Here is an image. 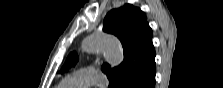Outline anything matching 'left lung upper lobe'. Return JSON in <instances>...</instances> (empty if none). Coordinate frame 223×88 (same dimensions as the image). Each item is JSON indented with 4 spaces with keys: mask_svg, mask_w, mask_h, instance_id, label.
<instances>
[{
    "mask_svg": "<svg viewBox=\"0 0 223 88\" xmlns=\"http://www.w3.org/2000/svg\"><path fill=\"white\" fill-rule=\"evenodd\" d=\"M103 31L117 36L124 48V60L118 67L111 69L107 63L101 67L112 85L133 72L142 71L155 59L152 30L140 8L125 4L111 10L104 19ZM77 60V54L71 53L62 67V72L75 65Z\"/></svg>",
    "mask_w": 223,
    "mask_h": 88,
    "instance_id": "1",
    "label": "left lung upper lobe"
}]
</instances>
